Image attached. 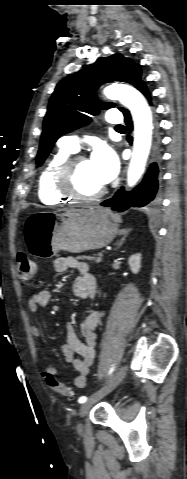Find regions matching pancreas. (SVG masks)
Masks as SVG:
<instances>
[{"label":"pancreas","instance_id":"obj_1","mask_svg":"<svg viewBox=\"0 0 187 479\" xmlns=\"http://www.w3.org/2000/svg\"><path fill=\"white\" fill-rule=\"evenodd\" d=\"M77 259H79V260L92 259V260H94V261L97 262V263H99V262L102 261V258H101V257L88 258V257L83 256V255L78 256Z\"/></svg>","mask_w":187,"mask_h":479}]
</instances>
